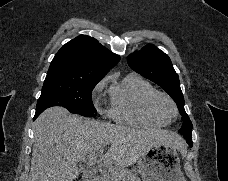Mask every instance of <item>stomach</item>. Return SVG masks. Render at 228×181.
Instances as JSON below:
<instances>
[{
    "mask_svg": "<svg viewBox=\"0 0 228 181\" xmlns=\"http://www.w3.org/2000/svg\"><path fill=\"white\" fill-rule=\"evenodd\" d=\"M137 163L142 181H186L178 151L171 145H153Z\"/></svg>",
    "mask_w": 228,
    "mask_h": 181,
    "instance_id": "obj_1",
    "label": "stomach"
}]
</instances>
